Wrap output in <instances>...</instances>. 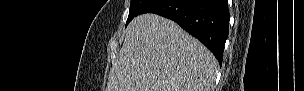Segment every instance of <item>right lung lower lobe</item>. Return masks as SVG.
I'll use <instances>...</instances> for the list:
<instances>
[{
	"instance_id": "right-lung-lower-lobe-1",
	"label": "right lung lower lobe",
	"mask_w": 304,
	"mask_h": 91,
	"mask_svg": "<svg viewBox=\"0 0 304 91\" xmlns=\"http://www.w3.org/2000/svg\"><path fill=\"white\" fill-rule=\"evenodd\" d=\"M144 13L175 21L200 40L222 64L229 31L228 0H150L140 12Z\"/></svg>"
}]
</instances>
